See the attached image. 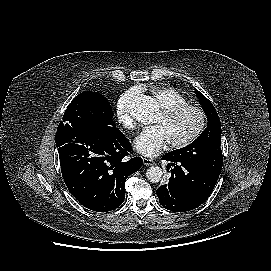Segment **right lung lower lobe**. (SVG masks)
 <instances>
[{"label":"right lung lower lobe","mask_w":271,"mask_h":271,"mask_svg":"<svg viewBox=\"0 0 271 271\" xmlns=\"http://www.w3.org/2000/svg\"><path fill=\"white\" fill-rule=\"evenodd\" d=\"M55 142L65 184L84 207L107 212L123 203L125 181L143 160L124 159L132 149L119 129L61 121Z\"/></svg>","instance_id":"obj_1"}]
</instances>
